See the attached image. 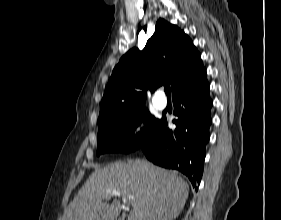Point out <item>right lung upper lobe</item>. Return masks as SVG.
<instances>
[{
  "label": "right lung upper lobe",
  "instance_id": "1",
  "mask_svg": "<svg viewBox=\"0 0 281 220\" xmlns=\"http://www.w3.org/2000/svg\"><path fill=\"white\" fill-rule=\"evenodd\" d=\"M206 79L201 56L190 38L159 19L145 48H132L115 66L106 86L98 125L145 108L146 91L171 83L173 94Z\"/></svg>",
  "mask_w": 281,
  "mask_h": 220
}]
</instances>
